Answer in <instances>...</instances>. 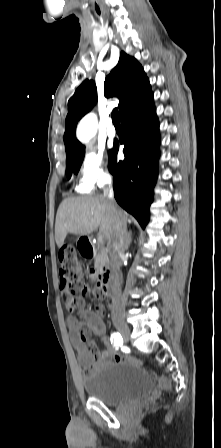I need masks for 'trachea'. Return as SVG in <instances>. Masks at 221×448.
I'll use <instances>...</instances> for the list:
<instances>
[{"label": "trachea", "instance_id": "trachea-1", "mask_svg": "<svg viewBox=\"0 0 221 448\" xmlns=\"http://www.w3.org/2000/svg\"><path fill=\"white\" fill-rule=\"evenodd\" d=\"M111 116H112L113 124L115 126H120L119 114H118V109L117 108L113 109Z\"/></svg>", "mask_w": 221, "mask_h": 448}]
</instances>
